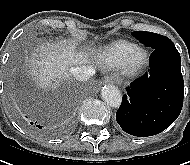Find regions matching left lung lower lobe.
Here are the masks:
<instances>
[{
    "label": "left lung lower lobe",
    "instance_id": "obj_1",
    "mask_svg": "<svg viewBox=\"0 0 190 165\" xmlns=\"http://www.w3.org/2000/svg\"><path fill=\"white\" fill-rule=\"evenodd\" d=\"M150 72L126 88L116 113L120 127L128 134L146 137L171 125L183 106L184 81L180 54L172 41L154 49Z\"/></svg>",
    "mask_w": 190,
    "mask_h": 165
}]
</instances>
